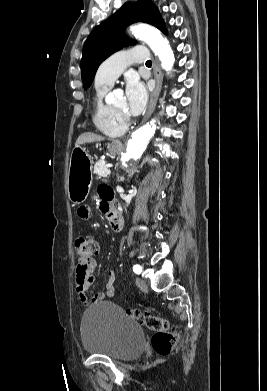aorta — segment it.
<instances>
[{"label":"aorta","mask_w":267,"mask_h":391,"mask_svg":"<svg viewBox=\"0 0 267 391\" xmlns=\"http://www.w3.org/2000/svg\"><path fill=\"white\" fill-rule=\"evenodd\" d=\"M134 36L146 42L154 54L161 61L162 68L171 71L175 62L173 51L168 41L160 34L159 30L145 24L134 25L131 27ZM156 130L155 120L144 124L138 128L128 141L126 150L122 153L121 160L124 165H130L131 162L141 157L147 147L149 140Z\"/></svg>","instance_id":"aorta-1"}]
</instances>
